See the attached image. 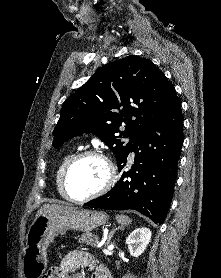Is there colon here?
I'll use <instances>...</instances> for the list:
<instances>
[{
	"label": "colon",
	"mask_w": 221,
	"mask_h": 278,
	"mask_svg": "<svg viewBox=\"0 0 221 278\" xmlns=\"http://www.w3.org/2000/svg\"><path fill=\"white\" fill-rule=\"evenodd\" d=\"M56 272H57V268L56 267H53L51 270H50V274L52 277L56 276Z\"/></svg>",
	"instance_id": "1"
}]
</instances>
